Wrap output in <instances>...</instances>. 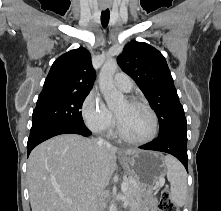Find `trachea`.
Wrapping results in <instances>:
<instances>
[{
    "mask_svg": "<svg viewBox=\"0 0 221 211\" xmlns=\"http://www.w3.org/2000/svg\"><path fill=\"white\" fill-rule=\"evenodd\" d=\"M109 19H110L109 9H106V10L102 11V13H101V23H102V26L104 28H106L108 26Z\"/></svg>",
    "mask_w": 221,
    "mask_h": 211,
    "instance_id": "1",
    "label": "trachea"
}]
</instances>
